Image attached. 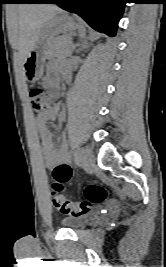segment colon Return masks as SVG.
Here are the masks:
<instances>
[{"label": "colon", "mask_w": 166, "mask_h": 267, "mask_svg": "<svg viewBox=\"0 0 166 267\" xmlns=\"http://www.w3.org/2000/svg\"><path fill=\"white\" fill-rule=\"evenodd\" d=\"M30 101L33 111L39 114L53 106L54 93L46 92L41 87H34L30 90ZM53 176L55 179V183L51 187L53 204L64 215H85L91 210L92 204L101 203L107 198L108 194L105 188L97 184H90L85 190L86 201H71L61 193L62 184L70 179L71 171L67 168H57Z\"/></svg>", "instance_id": "obj_1"}]
</instances>
